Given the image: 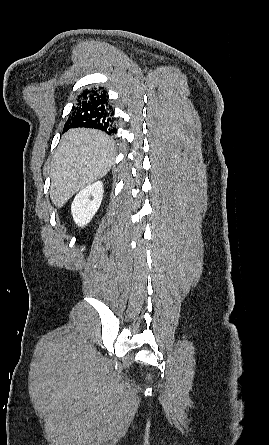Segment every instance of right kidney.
I'll return each mask as SVG.
<instances>
[{
	"instance_id": "ca27d5eb",
	"label": "right kidney",
	"mask_w": 269,
	"mask_h": 445,
	"mask_svg": "<svg viewBox=\"0 0 269 445\" xmlns=\"http://www.w3.org/2000/svg\"><path fill=\"white\" fill-rule=\"evenodd\" d=\"M103 193V184L97 181L76 195L71 205V213L78 226L84 227L92 220L101 205Z\"/></svg>"
}]
</instances>
